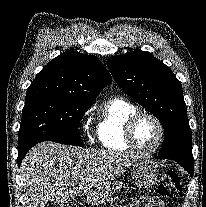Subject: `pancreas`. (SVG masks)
<instances>
[{"label": "pancreas", "mask_w": 206, "mask_h": 207, "mask_svg": "<svg viewBox=\"0 0 206 207\" xmlns=\"http://www.w3.org/2000/svg\"><path fill=\"white\" fill-rule=\"evenodd\" d=\"M118 207H129L128 205H118Z\"/></svg>", "instance_id": "obj_1"}]
</instances>
